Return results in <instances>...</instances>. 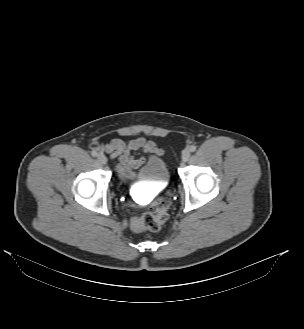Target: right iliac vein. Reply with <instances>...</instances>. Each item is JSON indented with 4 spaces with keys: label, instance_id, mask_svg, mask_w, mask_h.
Here are the masks:
<instances>
[{
    "label": "right iliac vein",
    "instance_id": "right-iliac-vein-1",
    "mask_svg": "<svg viewBox=\"0 0 304 329\" xmlns=\"http://www.w3.org/2000/svg\"><path fill=\"white\" fill-rule=\"evenodd\" d=\"M97 159H98V161H99L101 164H103V165H105V164L107 163V158H106V156H105L104 154H102V153H100V154L98 155Z\"/></svg>",
    "mask_w": 304,
    "mask_h": 329
}]
</instances>
